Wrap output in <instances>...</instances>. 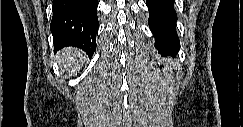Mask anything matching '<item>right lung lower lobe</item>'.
Instances as JSON below:
<instances>
[{
	"mask_svg": "<svg viewBox=\"0 0 243 127\" xmlns=\"http://www.w3.org/2000/svg\"><path fill=\"white\" fill-rule=\"evenodd\" d=\"M50 29L55 51L74 46L91 57L98 32L97 0H53Z\"/></svg>",
	"mask_w": 243,
	"mask_h": 127,
	"instance_id": "1",
	"label": "right lung lower lobe"
}]
</instances>
